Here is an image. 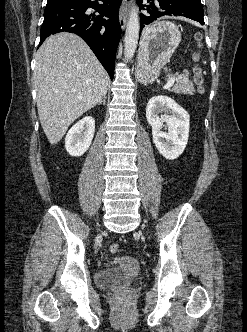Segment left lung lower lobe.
Wrapping results in <instances>:
<instances>
[{
    "label": "left lung lower lobe",
    "mask_w": 247,
    "mask_h": 332,
    "mask_svg": "<svg viewBox=\"0 0 247 332\" xmlns=\"http://www.w3.org/2000/svg\"><path fill=\"white\" fill-rule=\"evenodd\" d=\"M149 0L150 5H142L143 0H137L141 9L147 11L140 15V31L146 29L153 21L162 16H183L204 25L203 7L201 0ZM146 7V8H143Z\"/></svg>",
    "instance_id": "left-lung-lower-lobe-1"
}]
</instances>
